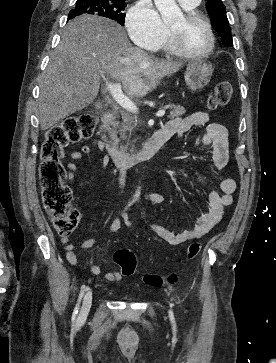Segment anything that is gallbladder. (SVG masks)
<instances>
[{"label":"gallbladder","instance_id":"bac80fb5","mask_svg":"<svg viewBox=\"0 0 276 363\" xmlns=\"http://www.w3.org/2000/svg\"><path fill=\"white\" fill-rule=\"evenodd\" d=\"M100 103L99 102H96L95 104H94V107L96 108V109H98V108H100Z\"/></svg>","mask_w":276,"mask_h":363}]
</instances>
